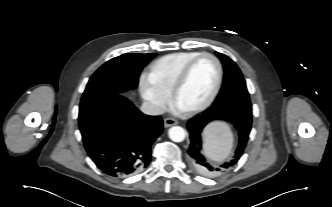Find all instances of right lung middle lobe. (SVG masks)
Wrapping results in <instances>:
<instances>
[{
  "instance_id": "dd1d6c3e",
  "label": "right lung middle lobe",
  "mask_w": 332,
  "mask_h": 207,
  "mask_svg": "<svg viewBox=\"0 0 332 207\" xmlns=\"http://www.w3.org/2000/svg\"><path fill=\"white\" fill-rule=\"evenodd\" d=\"M156 54H123L102 65L90 78L81 102L105 93L125 92L137 87L143 67Z\"/></svg>"
}]
</instances>
